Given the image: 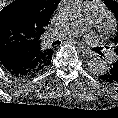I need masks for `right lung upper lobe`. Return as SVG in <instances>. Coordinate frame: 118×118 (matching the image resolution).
Segmentation results:
<instances>
[{
    "label": "right lung upper lobe",
    "instance_id": "cb5924a9",
    "mask_svg": "<svg viewBox=\"0 0 118 118\" xmlns=\"http://www.w3.org/2000/svg\"><path fill=\"white\" fill-rule=\"evenodd\" d=\"M27 4V29L20 35L2 20L0 15V50L14 47L20 51L32 52L37 57L36 69L45 70L51 63L53 50L41 45V36L46 31L49 19L61 0H15Z\"/></svg>",
    "mask_w": 118,
    "mask_h": 118
}]
</instances>
